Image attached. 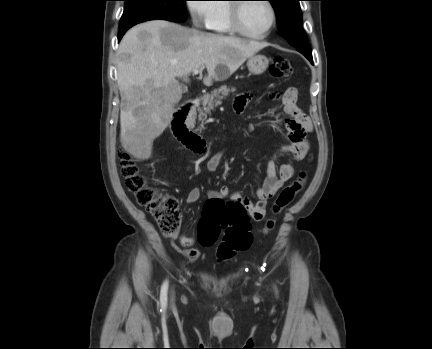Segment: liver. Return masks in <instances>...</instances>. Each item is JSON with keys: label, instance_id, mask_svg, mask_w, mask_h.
<instances>
[{"label": "liver", "instance_id": "6515ba94", "mask_svg": "<svg viewBox=\"0 0 432 349\" xmlns=\"http://www.w3.org/2000/svg\"><path fill=\"white\" fill-rule=\"evenodd\" d=\"M144 34V35H142ZM268 43L202 32L164 20L132 27L118 48L121 95L120 139L138 159L151 155L153 141L168 126L182 96L176 77L206 67V86L218 80L217 66L234 73Z\"/></svg>", "mask_w": 432, "mask_h": 349}]
</instances>
